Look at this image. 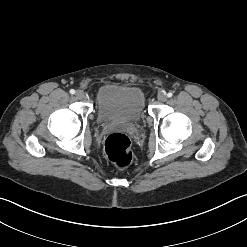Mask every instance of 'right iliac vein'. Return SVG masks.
Segmentation results:
<instances>
[{
  "label": "right iliac vein",
  "instance_id": "obj_1",
  "mask_svg": "<svg viewBox=\"0 0 247 247\" xmlns=\"http://www.w3.org/2000/svg\"><path fill=\"white\" fill-rule=\"evenodd\" d=\"M75 96L77 99H83L84 98V93L81 90L76 91Z\"/></svg>",
  "mask_w": 247,
  "mask_h": 247
}]
</instances>
